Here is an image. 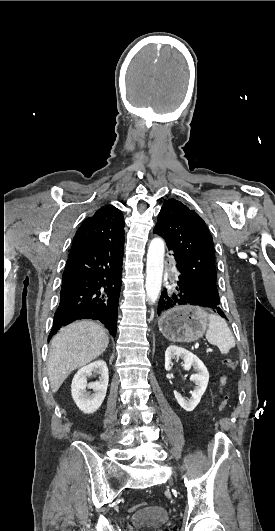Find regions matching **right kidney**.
Segmentation results:
<instances>
[{"mask_svg":"<svg viewBox=\"0 0 275 531\" xmlns=\"http://www.w3.org/2000/svg\"><path fill=\"white\" fill-rule=\"evenodd\" d=\"M92 373H99L101 381L87 383V377ZM109 373L105 361L99 359L90 363L87 367H82L73 377L71 393L73 401L83 413H95L101 407L108 387ZM86 389H92L93 395L87 393Z\"/></svg>","mask_w":275,"mask_h":531,"instance_id":"1","label":"right kidney"}]
</instances>
